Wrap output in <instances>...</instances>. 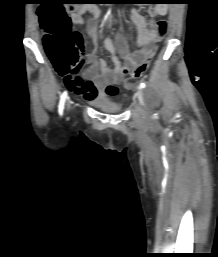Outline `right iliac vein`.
I'll list each match as a JSON object with an SVG mask.
<instances>
[{"mask_svg":"<svg viewBox=\"0 0 218 257\" xmlns=\"http://www.w3.org/2000/svg\"><path fill=\"white\" fill-rule=\"evenodd\" d=\"M66 108H67V110H69V109H70V101H69V99L67 100Z\"/></svg>","mask_w":218,"mask_h":257,"instance_id":"1","label":"right iliac vein"}]
</instances>
